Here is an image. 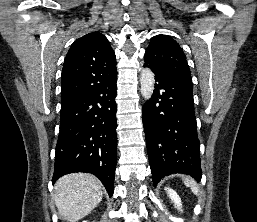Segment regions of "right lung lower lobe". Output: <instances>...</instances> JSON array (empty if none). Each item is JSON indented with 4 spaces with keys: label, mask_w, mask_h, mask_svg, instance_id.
<instances>
[{
    "label": "right lung lower lobe",
    "mask_w": 257,
    "mask_h": 222,
    "mask_svg": "<svg viewBox=\"0 0 257 222\" xmlns=\"http://www.w3.org/2000/svg\"><path fill=\"white\" fill-rule=\"evenodd\" d=\"M117 71L82 96L61 105L52 182L73 172L96 175L109 196L116 168Z\"/></svg>",
    "instance_id": "1"
}]
</instances>
